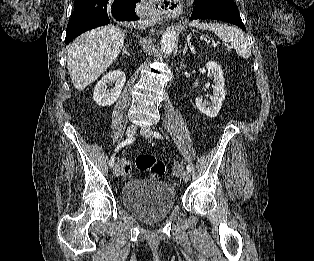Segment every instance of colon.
I'll return each instance as SVG.
<instances>
[{"label":"colon","instance_id":"colon-1","mask_svg":"<svg viewBox=\"0 0 314 261\" xmlns=\"http://www.w3.org/2000/svg\"><path fill=\"white\" fill-rule=\"evenodd\" d=\"M136 167L141 172H148L149 177L152 179L158 178L165 172V165L162 161L150 154H141L136 157L135 160ZM182 166L180 164H175L172 168L173 175H179Z\"/></svg>","mask_w":314,"mask_h":261}]
</instances>
